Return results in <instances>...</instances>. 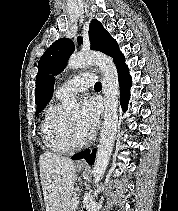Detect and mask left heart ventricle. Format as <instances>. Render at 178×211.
Returning <instances> with one entry per match:
<instances>
[{
	"label": "left heart ventricle",
	"mask_w": 178,
	"mask_h": 211,
	"mask_svg": "<svg viewBox=\"0 0 178 211\" xmlns=\"http://www.w3.org/2000/svg\"><path fill=\"white\" fill-rule=\"evenodd\" d=\"M78 119H79L78 116H72V117L68 118V120L73 128L76 140L79 142H82L88 136L79 128Z\"/></svg>",
	"instance_id": "b2bd125f"
}]
</instances>
